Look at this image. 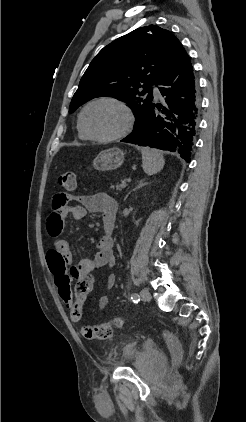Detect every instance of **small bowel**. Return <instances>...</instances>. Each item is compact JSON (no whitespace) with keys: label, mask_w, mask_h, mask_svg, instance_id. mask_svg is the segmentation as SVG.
<instances>
[{"label":"small bowel","mask_w":246,"mask_h":422,"mask_svg":"<svg viewBox=\"0 0 246 422\" xmlns=\"http://www.w3.org/2000/svg\"><path fill=\"white\" fill-rule=\"evenodd\" d=\"M75 200L77 204H70ZM117 211L116 201L105 193H97L89 196L70 197L57 194L53 200V209L47 220V230L50 236L60 235L66 217L78 221L85 217L87 212H99L102 215L103 235L97 243V251L93 258L82 259L73 265V252L69 242L60 239L54 249L61 253L72 270V275L77 278L84 274H92L95 270L115 263L113 253V231ZM116 284V276L110 274L106 286L112 289ZM108 303V297L102 296L98 301V307L104 308Z\"/></svg>","instance_id":"1"}]
</instances>
